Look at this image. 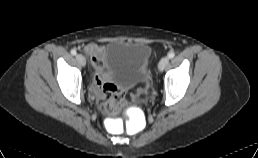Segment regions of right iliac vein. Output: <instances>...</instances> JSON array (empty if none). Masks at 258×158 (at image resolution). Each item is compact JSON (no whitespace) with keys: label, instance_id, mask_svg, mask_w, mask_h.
Wrapping results in <instances>:
<instances>
[{"label":"right iliac vein","instance_id":"right-iliac-vein-1","mask_svg":"<svg viewBox=\"0 0 258 158\" xmlns=\"http://www.w3.org/2000/svg\"><path fill=\"white\" fill-rule=\"evenodd\" d=\"M76 60L78 61V63L81 66H85L86 65V58L82 54H77L76 55Z\"/></svg>","mask_w":258,"mask_h":158}]
</instances>
